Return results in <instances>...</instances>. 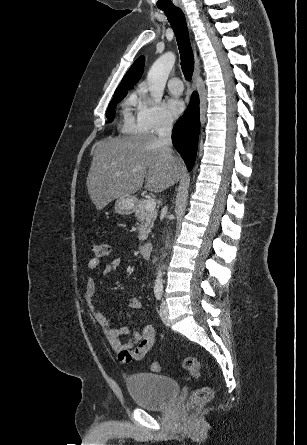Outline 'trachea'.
I'll use <instances>...</instances> for the list:
<instances>
[{"label": "trachea", "instance_id": "obj_1", "mask_svg": "<svg viewBox=\"0 0 307 445\" xmlns=\"http://www.w3.org/2000/svg\"><path fill=\"white\" fill-rule=\"evenodd\" d=\"M160 10L165 12L174 30L180 51L182 72L185 79L190 81L194 71V57L184 14L180 8L175 6L161 8Z\"/></svg>", "mask_w": 307, "mask_h": 445}]
</instances>
